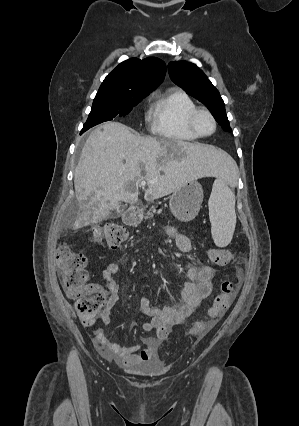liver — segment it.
<instances>
[{
	"mask_svg": "<svg viewBox=\"0 0 299 426\" xmlns=\"http://www.w3.org/2000/svg\"><path fill=\"white\" fill-rule=\"evenodd\" d=\"M234 168L231 156L212 145L142 137L122 123H105L90 133L74 172L79 213L73 228L102 222L120 201L136 203L141 181L150 182L144 198L153 201Z\"/></svg>",
	"mask_w": 299,
	"mask_h": 426,
	"instance_id": "liver-1",
	"label": "liver"
}]
</instances>
